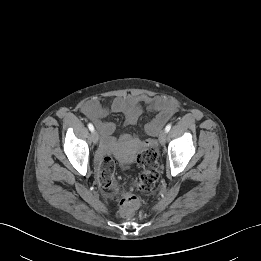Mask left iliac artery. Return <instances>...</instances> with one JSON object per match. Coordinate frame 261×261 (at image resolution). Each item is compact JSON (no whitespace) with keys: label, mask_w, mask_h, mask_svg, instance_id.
<instances>
[{"label":"left iliac artery","mask_w":261,"mask_h":261,"mask_svg":"<svg viewBox=\"0 0 261 261\" xmlns=\"http://www.w3.org/2000/svg\"><path fill=\"white\" fill-rule=\"evenodd\" d=\"M171 129V124H168L166 127H165V131L168 133Z\"/></svg>","instance_id":"left-iliac-artery-1"}]
</instances>
